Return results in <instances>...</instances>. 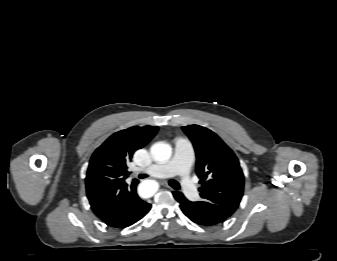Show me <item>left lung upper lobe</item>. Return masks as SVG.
I'll use <instances>...</instances> for the list:
<instances>
[{
	"label": "left lung upper lobe",
	"instance_id": "1",
	"mask_svg": "<svg viewBox=\"0 0 337 261\" xmlns=\"http://www.w3.org/2000/svg\"><path fill=\"white\" fill-rule=\"evenodd\" d=\"M196 152V173L202 187L201 201L194 202L224 221L238 208L244 189V175L233 151L211 130L182 127Z\"/></svg>",
	"mask_w": 337,
	"mask_h": 261
}]
</instances>
